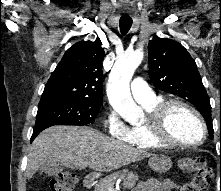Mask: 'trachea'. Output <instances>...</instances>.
<instances>
[{"label":"trachea","instance_id":"1","mask_svg":"<svg viewBox=\"0 0 221 191\" xmlns=\"http://www.w3.org/2000/svg\"><path fill=\"white\" fill-rule=\"evenodd\" d=\"M132 19L131 18H123L121 17L119 20V25H120V31L123 35H125L126 33H128V31L130 30L131 26H132Z\"/></svg>","mask_w":221,"mask_h":191}]
</instances>
